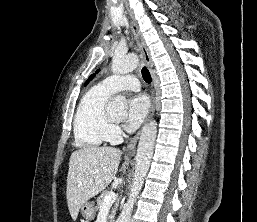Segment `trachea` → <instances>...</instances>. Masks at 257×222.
Segmentation results:
<instances>
[{
	"label": "trachea",
	"instance_id": "3493384b",
	"mask_svg": "<svg viewBox=\"0 0 257 222\" xmlns=\"http://www.w3.org/2000/svg\"><path fill=\"white\" fill-rule=\"evenodd\" d=\"M141 73H142V77H143L144 81L146 83L150 84L151 83V75H150L149 70L144 66L142 68Z\"/></svg>",
	"mask_w": 257,
	"mask_h": 222
}]
</instances>
